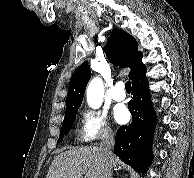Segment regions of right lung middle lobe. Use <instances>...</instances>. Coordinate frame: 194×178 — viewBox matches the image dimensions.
Returning a JSON list of instances; mask_svg holds the SVG:
<instances>
[{"label":"right lung middle lobe","mask_w":194,"mask_h":178,"mask_svg":"<svg viewBox=\"0 0 194 178\" xmlns=\"http://www.w3.org/2000/svg\"><path fill=\"white\" fill-rule=\"evenodd\" d=\"M76 113H77V110H73L65 114V118L63 120L60 136L57 143L61 142L63 140L64 135L68 134L70 127L76 116Z\"/></svg>","instance_id":"1"}]
</instances>
